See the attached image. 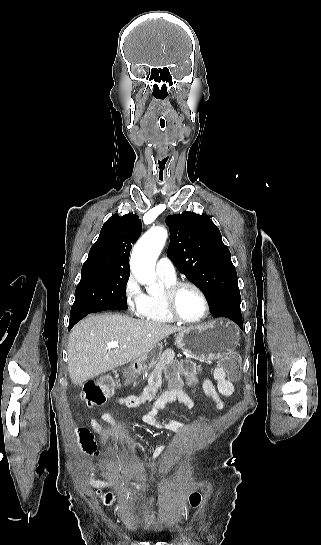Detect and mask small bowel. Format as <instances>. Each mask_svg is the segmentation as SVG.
Listing matches in <instances>:
<instances>
[{
    "instance_id": "c3829d8e",
    "label": "small bowel",
    "mask_w": 321,
    "mask_h": 545,
    "mask_svg": "<svg viewBox=\"0 0 321 545\" xmlns=\"http://www.w3.org/2000/svg\"><path fill=\"white\" fill-rule=\"evenodd\" d=\"M214 379L216 381V386L210 379H205L202 384V388L204 393L211 397L217 404V407L219 409L223 408L224 404L221 399V396L228 397L233 394L234 392V385L231 380L227 379L225 371L221 367H217L214 370ZM159 382V374L157 373L151 378V383L148 387L144 389L141 395H129L125 397H121L117 400V403L129 408H135L140 406L141 404L151 400L155 396V388L158 385ZM170 402H179L183 405H185L188 409L193 408V403L191 399L180 389H173L170 391L165 392L162 396H160L153 404L152 406L143 414L142 419L145 423L148 425L158 428V429H167L174 432H182L188 430V426L179 423L176 421H160L157 418V413L167 404ZM102 419L116 427V423L113 420L110 413L105 412L102 415ZM91 427L98 433L105 435V431L103 427L100 425L98 421L95 419L91 420ZM167 445L160 446L152 455V457L149 460H155L157 459L160 454L167 448ZM130 450L138 449L140 451H143L142 446L139 443L134 444L133 446L129 447ZM113 479H107V480H100V479H92L91 485L96 488H104V487H110L114 485Z\"/></svg>"
}]
</instances>
